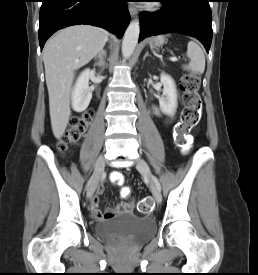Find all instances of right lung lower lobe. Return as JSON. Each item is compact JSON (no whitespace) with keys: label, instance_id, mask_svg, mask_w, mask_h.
<instances>
[{"label":"right lung lower lobe","instance_id":"right-lung-lower-lobe-1","mask_svg":"<svg viewBox=\"0 0 258 275\" xmlns=\"http://www.w3.org/2000/svg\"><path fill=\"white\" fill-rule=\"evenodd\" d=\"M126 0H42L39 16V44L57 30L77 24L103 27L121 38L130 15Z\"/></svg>","mask_w":258,"mask_h":275}]
</instances>
